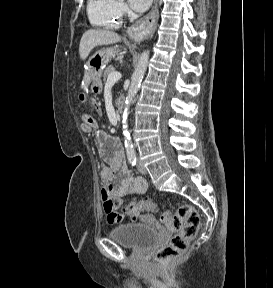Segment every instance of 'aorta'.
Returning <instances> with one entry per match:
<instances>
[{"label":"aorta","mask_w":273,"mask_h":288,"mask_svg":"<svg viewBox=\"0 0 273 288\" xmlns=\"http://www.w3.org/2000/svg\"><path fill=\"white\" fill-rule=\"evenodd\" d=\"M149 60V51H144L138 61V64L132 74L131 77V84L128 89V94L125 100L123 115H122V128H123V135H124V145L126 149V153L132 155L135 153L134 146L131 142L130 133L128 130V115L130 113V105L133 101V98L136 96L141 82L143 80L144 74L147 69Z\"/></svg>","instance_id":"762f6f07"}]
</instances>
